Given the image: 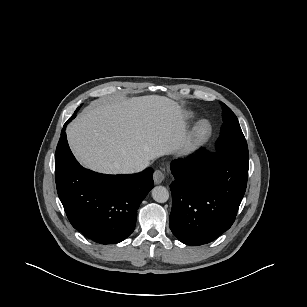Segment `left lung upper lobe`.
<instances>
[{
  "label": "left lung upper lobe",
  "mask_w": 307,
  "mask_h": 307,
  "mask_svg": "<svg viewBox=\"0 0 307 307\" xmlns=\"http://www.w3.org/2000/svg\"><path fill=\"white\" fill-rule=\"evenodd\" d=\"M223 105V126L216 144L215 154H231L249 161L248 146L240 128L238 119L232 110Z\"/></svg>",
  "instance_id": "1"
}]
</instances>
